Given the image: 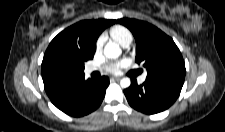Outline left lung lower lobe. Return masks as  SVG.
Listing matches in <instances>:
<instances>
[{
    "label": "left lung lower lobe",
    "mask_w": 225,
    "mask_h": 132,
    "mask_svg": "<svg viewBox=\"0 0 225 132\" xmlns=\"http://www.w3.org/2000/svg\"><path fill=\"white\" fill-rule=\"evenodd\" d=\"M183 83L146 78L142 85L131 79V86L124 90L128 103L145 114H156L169 108L178 98Z\"/></svg>",
    "instance_id": "0a47b994"
}]
</instances>
